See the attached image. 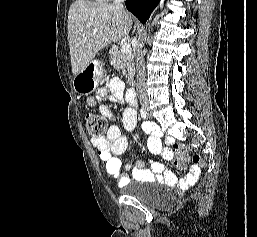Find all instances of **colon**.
Listing matches in <instances>:
<instances>
[{
    "mask_svg": "<svg viewBox=\"0 0 257 237\" xmlns=\"http://www.w3.org/2000/svg\"><path fill=\"white\" fill-rule=\"evenodd\" d=\"M85 123L89 133L97 138H101L105 135L107 130V122L101 116L95 113H88L85 116ZM189 148L186 145H175L174 146V153L176 156V165L178 167H183L185 162V158L189 153ZM194 161L199 162L200 157L195 155Z\"/></svg>",
    "mask_w": 257,
    "mask_h": 237,
    "instance_id": "colon-1",
    "label": "colon"
}]
</instances>
